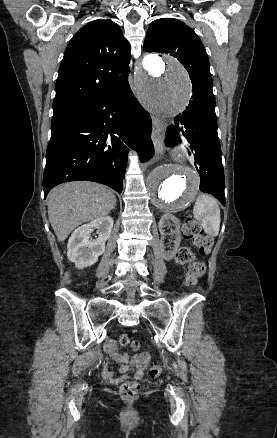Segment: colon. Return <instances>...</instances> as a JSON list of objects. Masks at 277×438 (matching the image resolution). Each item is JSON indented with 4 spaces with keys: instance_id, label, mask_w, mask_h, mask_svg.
<instances>
[{
    "instance_id": "5ec220e1",
    "label": "colon",
    "mask_w": 277,
    "mask_h": 438,
    "mask_svg": "<svg viewBox=\"0 0 277 438\" xmlns=\"http://www.w3.org/2000/svg\"><path fill=\"white\" fill-rule=\"evenodd\" d=\"M181 233L186 239L190 240L199 251L204 253L210 251L212 241L204 232L203 226L196 220H186L181 226ZM176 259L178 263L187 267L186 285L192 288L196 287L198 285V279L206 272L205 264L194 259V253L189 247L179 248L176 252ZM119 342L124 346L130 344L134 349L139 347L138 343L130 342V339L124 335L120 336ZM160 373L161 366L158 364L153 365L148 371V375L151 378L158 377ZM120 393L128 401H131L133 398H144L145 395L144 389H139L134 380H124Z\"/></svg>"
}]
</instances>
